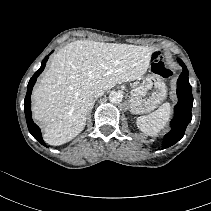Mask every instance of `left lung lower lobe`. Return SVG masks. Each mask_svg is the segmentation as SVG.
Here are the masks:
<instances>
[{
  "instance_id": "obj_1",
  "label": "left lung lower lobe",
  "mask_w": 211,
  "mask_h": 211,
  "mask_svg": "<svg viewBox=\"0 0 211 211\" xmlns=\"http://www.w3.org/2000/svg\"><path fill=\"white\" fill-rule=\"evenodd\" d=\"M179 64L183 67L177 81L178 103L174 109V118L171 121V130L163 139L161 147L168 148L184 136L187 125L191 122V109L193 106L192 88L188 81V70L182 60L178 59Z\"/></svg>"
}]
</instances>
